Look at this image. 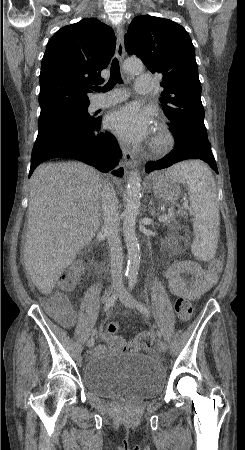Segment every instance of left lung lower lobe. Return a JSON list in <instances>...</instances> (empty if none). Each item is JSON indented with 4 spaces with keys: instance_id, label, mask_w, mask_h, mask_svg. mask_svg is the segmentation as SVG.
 <instances>
[{
    "instance_id": "1",
    "label": "left lung lower lobe",
    "mask_w": 245,
    "mask_h": 450,
    "mask_svg": "<svg viewBox=\"0 0 245 450\" xmlns=\"http://www.w3.org/2000/svg\"><path fill=\"white\" fill-rule=\"evenodd\" d=\"M190 158L204 160L216 173H218L217 165L212 154L210 144L189 146H178L177 144H175L174 151L166 155L164 158L158 161H149L146 164L145 171L148 173L153 170L168 168L176 162Z\"/></svg>"
}]
</instances>
